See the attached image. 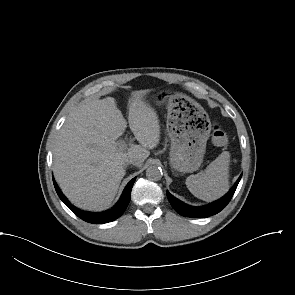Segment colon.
I'll use <instances>...</instances> for the list:
<instances>
[{
  "mask_svg": "<svg viewBox=\"0 0 295 295\" xmlns=\"http://www.w3.org/2000/svg\"><path fill=\"white\" fill-rule=\"evenodd\" d=\"M213 142L218 145L222 146L227 142V134L226 132L219 126H215L212 133Z\"/></svg>",
  "mask_w": 295,
  "mask_h": 295,
  "instance_id": "5ec220e1",
  "label": "colon"
}]
</instances>
